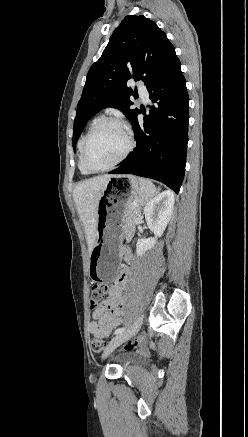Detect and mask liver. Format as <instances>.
<instances>
[{
  "instance_id": "liver-1",
  "label": "liver",
  "mask_w": 248,
  "mask_h": 437,
  "mask_svg": "<svg viewBox=\"0 0 248 437\" xmlns=\"http://www.w3.org/2000/svg\"><path fill=\"white\" fill-rule=\"evenodd\" d=\"M113 175H102L77 184L73 190V199L84 225L88 251L91 254L96 242V216L100 195Z\"/></svg>"
}]
</instances>
